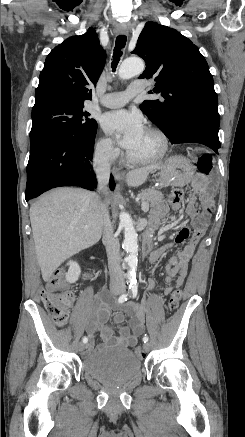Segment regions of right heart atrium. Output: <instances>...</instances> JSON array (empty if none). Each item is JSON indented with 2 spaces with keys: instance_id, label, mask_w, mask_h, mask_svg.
I'll return each instance as SVG.
<instances>
[{
  "instance_id": "d8ad5b80",
  "label": "right heart atrium",
  "mask_w": 245,
  "mask_h": 437,
  "mask_svg": "<svg viewBox=\"0 0 245 437\" xmlns=\"http://www.w3.org/2000/svg\"><path fill=\"white\" fill-rule=\"evenodd\" d=\"M93 155L98 165L107 167L118 158L119 151L109 138L99 136L94 142Z\"/></svg>"
}]
</instances>
